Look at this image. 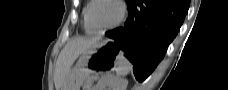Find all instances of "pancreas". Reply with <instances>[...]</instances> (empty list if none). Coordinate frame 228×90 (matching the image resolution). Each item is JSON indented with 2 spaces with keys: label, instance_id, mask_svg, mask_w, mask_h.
<instances>
[{
  "label": "pancreas",
  "instance_id": "obj_1",
  "mask_svg": "<svg viewBox=\"0 0 228 90\" xmlns=\"http://www.w3.org/2000/svg\"><path fill=\"white\" fill-rule=\"evenodd\" d=\"M94 80L93 76H89L84 82L83 90H92Z\"/></svg>",
  "mask_w": 228,
  "mask_h": 90
}]
</instances>
